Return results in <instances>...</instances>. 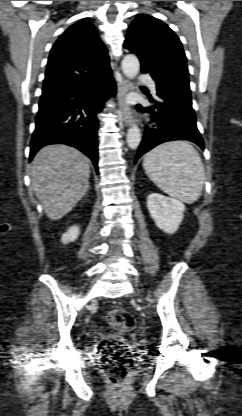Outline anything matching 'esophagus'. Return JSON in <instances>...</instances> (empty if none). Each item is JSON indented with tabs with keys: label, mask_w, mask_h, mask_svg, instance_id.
<instances>
[{
	"label": "esophagus",
	"mask_w": 242,
	"mask_h": 416,
	"mask_svg": "<svg viewBox=\"0 0 242 416\" xmlns=\"http://www.w3.org/2000/svg\"><path fill=\"white\" fill-rule=\"evenodd\" d=\"M132 89V84L124 79L118 89V103L119 115L125 125L129 126L134 122V117L131 109L125 104L124 99L126 94Z\"/></svg>",
	"instance_id": "esophagus-1"
}]
</instances>
